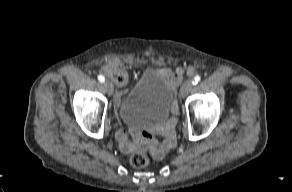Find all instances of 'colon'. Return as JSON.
Listing matches in <instances>:
<instances>
[{
    "instance_id": "1",
    "label": "colon",
    "mask_w": 292,
    "mask_h": 192,
    "mask_svg": "<svg viewBox=\"0 0 292 192\" xmlns=\"http://www.w3.org/2000/svg\"><path fill=\"white\" fill-rule=\"evenodd\" d=\"M109 75L112 81L118 85L123 86L128 81L126 71L120 66H113L109 69ZM131 165L135 168H143L149 164V157L144 153H135L130 158Z\"/></svg>"
}]
</instances>
